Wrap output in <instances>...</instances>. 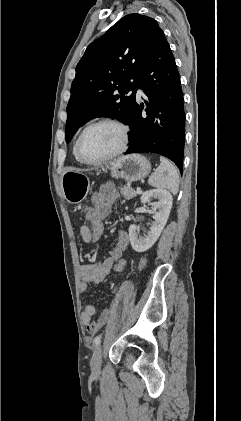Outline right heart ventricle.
Wrapping results in <instances>:
<instances>
[{"instance_id":"obj_1","label":"right heart ventricle","mask_w":241,"mask_h":421,"mask_svg":"<svg viewBox=\"0 0 241 421\" xmlns=\"http://www.w3.org/2000/svg\"><path fill=\"white\" fill-rule=\"evenodd\" d=\"M76 141H77V140H76ZM76 141H75V143H74V145H73V154H74L75 159H76L78 162H81V161H80V159L78 158V155H77V152H76Z\"/></svg>"}]
</instances>
